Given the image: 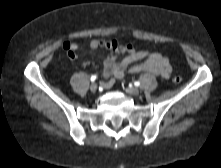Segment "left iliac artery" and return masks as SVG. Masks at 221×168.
<instances>
[{"mask_svg": "<svg viewBox=\"0 0 221 168\" xmlns=\"http://www.w3.org/2000/svg\"><path fill=\"white\" fill-rule=\"evenodd\" d=\"M134 85H135V86H139V85H140V82H139V81H136V82H134Z\"/></svg>", "mask_w": 221, "mask_h": 168, "instance_id": "44dca946", "label": "left iliac artery"}]
</instances>
